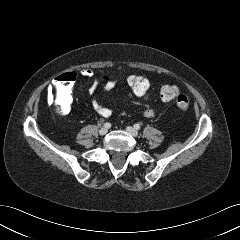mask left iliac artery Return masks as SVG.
Here are the masks:
<instances>
[{
    "instance_id": "left-iliac-artery-1",
    "label": "left iliac artery",
    "mask_w": 240,
    "mask_h": 240,
    "mask_svg": "<svg viewBox=\"0 0 240 240\" xmlns=\"http://www.w3.org/2000/svg\"><path fill=\"white\" fill-rule=\"evenodd\" d=\"M134 128H135L136 130H139V129H140V125H139V124H135V125H134Z\"/></svg>"
}]
</instances>
